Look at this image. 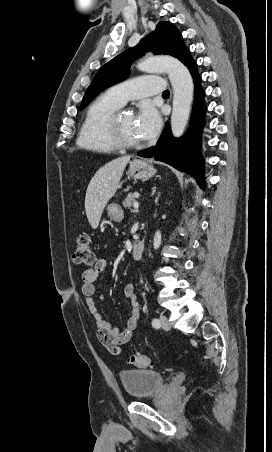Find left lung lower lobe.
<instances>
[{
	"label": "left lung lower lobe",
	"mask_w": 272,
	"mask_h": 452,
	"mask_svg": "<svg viewBox=\"0 0 272 452\" xmlns=\"http://www.w3.org/2000/svg\"><path fill=\"white\" fill-rule=\"evenodd\" d=\"M181 62L186 65L194 79L195 98L187 134L181 138H174L169 124H166L161 137L154 147L145 149L138 154L142 157H154L176 169L194 176L199 185L204 187L203 160L200 156V138L204 124L205 103L204 92L201 89V78L196 63L188 51Z\"/></svg>",
	"instance_id": "0a47b994"
}]
</instances>
